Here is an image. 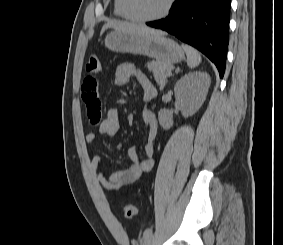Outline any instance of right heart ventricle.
Instances as JSON below:
<instances>
[{"label":"right heart ventricle","mask_w":283,"mask_h":245,"mask_svg":"<svg viewBox=\"0 0 283 245\" xmlns=\"http://www.w3.org/2000/svg\"><path fill=\"white\" fill-rule=\"evenodd\" d=\"M114 13L120 18L131 19L125 11L124 0H114Z\"/></svg>","instance_id":"right-heart-ventricle-1"}]
</instances>
